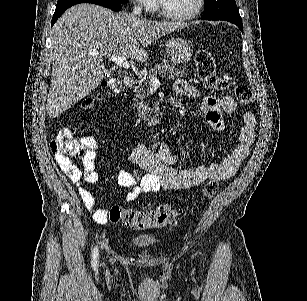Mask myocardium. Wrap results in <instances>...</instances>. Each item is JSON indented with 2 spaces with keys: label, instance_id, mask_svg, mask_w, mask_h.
I'll use <instances>...</instances> for the list:
<instances>
[{
  "label": "myocardium",
  "instance_id": "obj_1",
  "mask_svg": "<svg viewBox=\"0 0 307 301\" xmlns=\"http://www.w3.org/2000/svg\"><path fill=\"white\" fill-rule=\"evenodd\" d=\"M203 0H196L193 11H167L165 0H158L153 12H159V17L165 22H185L186 18L197 17Z\"/></svg>",
  "mask_w": 307,
  "mask_h": 301
}]
</instances>
